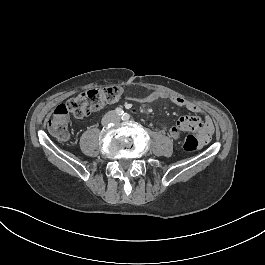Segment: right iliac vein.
<instances>
[{"label": "right iliac vein", "instance_id": "63e3f726", "mask_svg": "<svg viewBox=\"0 0 265 265\" xmlns=\"http://www.w3.org/2000/svg\"><path fill=\"white\" fill-rule=\"evenodd\" d=\"M105 121H106V122H108V119H107V118H105Z\"/></svg>", "mask_w": 265, "mask_h": 265}]
</instances>
